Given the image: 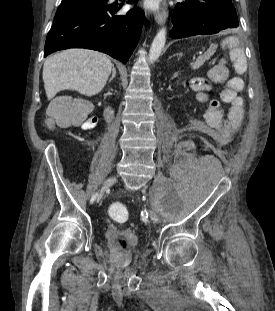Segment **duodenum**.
Segmentation results:
<instances>
[{"mask_svg":"<svg viewBox=\"0 0 275 311\" xmlns=\"http://www.w3.org/2000/svg\"><path fill=\"white\" fill-rule=\"evenodd\" d=\"M113 116V110L111 107H108L106 110H105V117L107 119H111Z\"/></svg>","mask_w":275,"mask_h":311,"instance_id":"1","label":"duodenum"}]
</instances>
